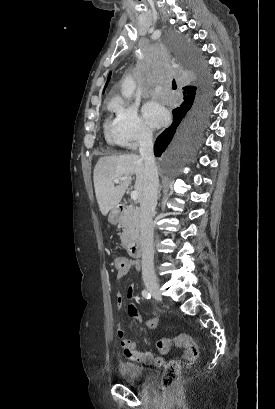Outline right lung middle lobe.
Here are the masks:
<instances>
[{
	"mask_svg": "<svg viewBox=\"0 0 275 409\" xmlns=\"http://www.w3.org/2000/svg\"><path fill=\"white\" fill-rule=\"evenodd\" d=\"M167 51H178V59L183 73H192L186 79L188 84L197 83L198 87L191 97L180 107L173 110V122L156 139L154 154L163 157L159 164L154 165L162 169L163 173H171L175 167L189 160L201 142L206 102L209 95V75L202 67L204 64L203 50H194L195 45L188 36H173L171 42L165 45ZM198 89L197 95L196 90ZM176 175H183L181 168L175 169Z\"/></svg>",
	"mask_w": 275,
	"mask_h": 409,
	"instance_id": "right-lung-middle-lobe-1",
	"label": "right lung middle lobe"
}]
</instances>
